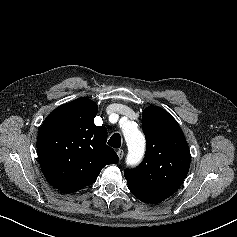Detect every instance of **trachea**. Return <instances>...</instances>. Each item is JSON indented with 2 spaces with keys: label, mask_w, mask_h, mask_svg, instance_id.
<instances>
[{
  "label": "trachea",
  "mask_w": 237,
  "mask_h": 237,
  "mask_svg": "<svg viewBox=\"0 0 237 237\" xmlns=\"http://www.w3.org/2000/svg\"><path fill=\"white\" fill-rule=\"evenodd\" d=\"M108 145L113 148H120L121 146V136L118 133H114L108 140Z\"/></svg>",
  "instance_id": "trachea-1"
}]
</instances>
